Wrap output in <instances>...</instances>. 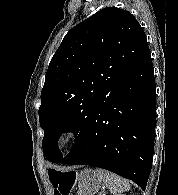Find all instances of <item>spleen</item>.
<instances>
[{"label":"spleen","instance_id":"obj_1","mask_svg":"<svg viewBox=\"0 0 178 195\" xmlns=\"http://www.w3.org/2000/svg\"><path fill=\"white\" fill-rule=\"evenodd\" d=\"M96 172L113 195L130 190V184L120 176L102 169H97Z\"/></svg>","mask_w":178,"mask_h":195}]
</instances>
